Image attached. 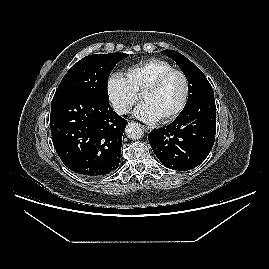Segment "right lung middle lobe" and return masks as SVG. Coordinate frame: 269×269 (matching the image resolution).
Here are the masks:
<instances>
[{
  "instance_id": "1",
  "label": "right lung middle lobe",
  "mask_w": 269,
  "mask_h": 269,
  "mask_svg": "<svg viewBox=\"0 0 269 269\" xmlns=\"http://www.w3.org/2000/svg\"><path fill=\"white\" fill-rule=\"evenodd\" d=\"M125 53L89 55L74 64L63 77L56 96L80 94L109 102L107 84L110 72Z\"/></svg>"
}]
</instances>
